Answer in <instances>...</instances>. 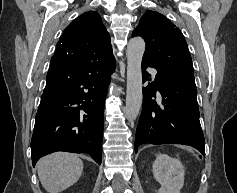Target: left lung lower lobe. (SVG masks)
<instances>
[{
  "label": "left lung lower lobe",
  "mask_w": 237,
  "mask_h": 193,
  "mask_svg": "<svg viewBox=\"0 0 237 193\" xmlns=\"http://www.w3.org/2000/svg\"><path fill=\"white\" fill-rule=\"evenodd\" d=\"M142 65L144 83L150 80L145 68L155 67L145 61ZM156 70L155 81L143 88L144 101L136 131L135 152L144 143H172L192 146L205 156L195 81ZM157 91L161 95L160 101L152 99L156 98Z\"/></svg>",
  "instance_id": "left-lung-lower-lobe-1"
}]
</instances>
